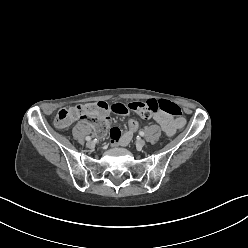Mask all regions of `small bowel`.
Returning <instances> with one entry per match:
<instances>
[{
  "label": "small bowel",
  "mask_w": 248,
  "mask_h": 248,
  "mask_svg": "<svg viewBox=\"0 0 248 248\" xmlns=\"http://www.w3.org/2000/svg\"><path fill=\"white\" fill-rule=\"evenodd\" d=\"M153 120L168 136L174 135L185 124V119L183 117H172L169 114L163 112L155 114L153 116ZM134 134L135 133H130L128 130L124 133H121L117 128H114L110 132L111 144L112 146H125L130 142Z\"/></svg>",
  "instance_id": "1"
}]
</instances>
